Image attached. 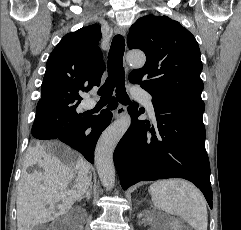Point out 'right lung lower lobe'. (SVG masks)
Here are the masks:
<instances>
[{
    "label": "right lung lower lobe",
    "mask_w": 241,
    "mask_h": 230,
    "mask_svg": "<svg viewBox=\"0 0 241 230\" xmlns=\"http://www.w3.org/2000/svg\"><path fill=\"white\" fill-rule=\"evenodd\" d=\"M118 102L113 97L106 110L97 116H88L76 128L68 132L54 131L41 123V114L36 111L32 127V135L40 140L58 139L79 151L90 163H94V150L102 131L109 125L112 112L117 108ZM92 127L90 134H85L87 128Z\"/></svg>",
    "instance_id": "obj_1"
}]
</instances>
